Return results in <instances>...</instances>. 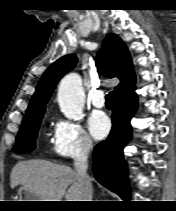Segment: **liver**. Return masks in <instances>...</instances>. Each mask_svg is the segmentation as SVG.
Here are the masks:
<instances>
[{
  "label": "liver",
  "instance_id": "obj_1",
  "mask_svg": "<svg viewBox=\"0 0 176 211\" xmlns=\"http://www.w3.org/2000/svg\"><path fill=\"white\" fill-rule=\"evenodd\" d=\"M17 185L24 186L41 201H62L63 197L65 201L84 199L83 187L77 172L68 166L46 160L18 162L10 175L11 188Z\"/></svg>",
  "mask_w": 176,
  "mask_h": 211
}]
</instances>
